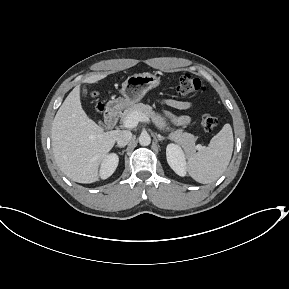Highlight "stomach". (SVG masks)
Wrapping results in <instances>:
<instances>
[{
	"label": "stomach",
	"mask_w": 289,
	"mask_h": 289,
	"mask_svg": "<svg viewBox=\"0 0 289 289\" xmlns=\"http://www.w3.org/2000/svg\"><path fill=\"white\" fill-rule=\"evenodd\" d=\"M160 77L156 74L142 73L129 76L122 85L121 95L109 103L113 109H121L139 102L145 94L160 85Z\"/></svg>",
	"instance_id": "stomach-1"
}]
</instances>
